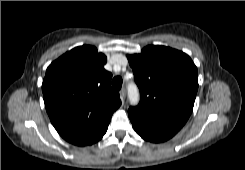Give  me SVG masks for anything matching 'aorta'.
<instances>
[{"label":"aorta","mask_w":245,"mask_h":170,"mask_svg":"<svg viewBox=\"0 0 245 170\" xmlns=\"http://www.w3.org/2000/svg\"><path fill=\"white\" fill-rule=\"evenodd\" d=\"M129 100H130V103L135 105L138 103L139 101V94H138V90L134 87V88H131L129 90Z\"/></svg>","instance_id":"obj_1"}]
</instances>
